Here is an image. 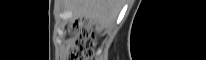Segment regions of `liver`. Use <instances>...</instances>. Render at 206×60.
Instances as JSON below:
<instances>
[{"mask_svg": "<svg viewBox=\"0 0 206 60\" xmlns=\"http://www.w3.org/2000/svg\"><path fill=\"white\" fill-rule=\"evenodd\" d=\"M66 4L74 19H88L98 29L110 27L122 7L121 0H67Z\"/></svg>", "mask_w": 206, "mask_h": 60, "instance_id": "6515ba94", "label": "liver"}]
</instances>
